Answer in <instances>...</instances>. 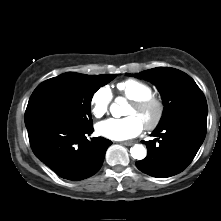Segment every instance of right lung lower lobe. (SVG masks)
<instances>
[{
	"mask_svg": "<svg viewBox=\"0 0 221 221\" xmlns=\"http://www.w3.org/2000/svg\"><path fill=\"white\" fill-rule=\"evenodd\" d=\"M31 148L36 157L58 176L68 180L86 179L99 171L108 139L89 141L93 127L80 129L55 119H38L26 124Z\"/></svg>",
	"mask_w": 221,
	"mask_h": 221,
	"instance_id": "1",
	"label": "right lung lower lobe"
}]
</instances>
